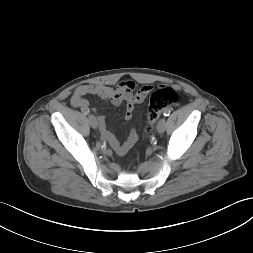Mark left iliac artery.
<instances>
[{
	"label": "left iliac artery",
	"mask_w": 253,
	"mask_h": 253,
	"mask_svg": "<svg viewBox=\"0 0 253 253\" xmlns=\"http://www.w3.org/2000/svg\"><path fill=\"white\" fill-rule=\"evenodd\" d=\"M170 112H171V111H170L169 109H166V110L164 111L163 114H164V116H169V115H170Z\"/></svg>",
	"instance_id": "1"
}]
</instances>
